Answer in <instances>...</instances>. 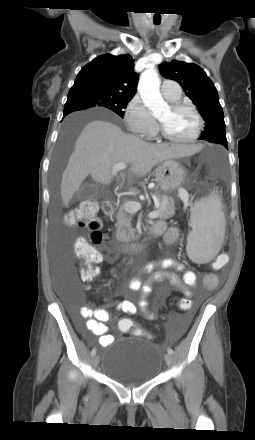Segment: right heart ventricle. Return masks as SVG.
I'll list each match as a JSON object with an SVG mask.
<instances>
[{"instance_id": "right-heart-ventricle-1", "label": "right heart ventricle", "mask_w": 255, "mask_h": 440, "mask_svg": "<svg viewBox=\"0 0 255 440\" xmlns=\"http://www.w3.org/2000/svg\"><path fill=\"white\" fill-rule=\"evenodd\" d=\"M179 99V98H178ZM178 99H173V100H169L170 102L174 103L176 101H178Z\"/></svg>"}]
</instances>
